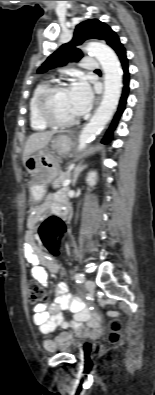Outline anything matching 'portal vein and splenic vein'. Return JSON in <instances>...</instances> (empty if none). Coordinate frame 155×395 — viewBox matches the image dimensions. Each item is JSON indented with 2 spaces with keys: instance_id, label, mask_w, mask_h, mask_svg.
I'll return each instance as SVG.
<instances>
[{
  "instance_id": "portal-vein-and-splenic-vein-1",
  "label": "portal vein and splenic vein",
  "mask_w": 155,
  "mask_h": 395,
  "mask_svg": "<svg viewBox=\"0 0 155 395\" xmlns=\"http://www.w3.org/2000/svg\"><path fill=\"white\" fill-rule=\"evenodd\" d=\"M70 182H71V179L68 178L62 183V186H68L70 184Z\"/></svg>"
}]
</instances>
